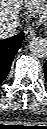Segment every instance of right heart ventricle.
<instances>
[{"label":"right heart ventricle","mask_w":47,"mask_h":129,"mask_svg":"<svg viewBox=\"0 0 47 129\" xmlns=\"http://www.w3.org/2000/svg\"><path fill=\"white\" fill-rule=\"evenodd\" d=\"M43 1L44 0H28V5L30 9L38 10L41 8Z\"/></svg>","instance_id":"obj_1"}]
</instances>
